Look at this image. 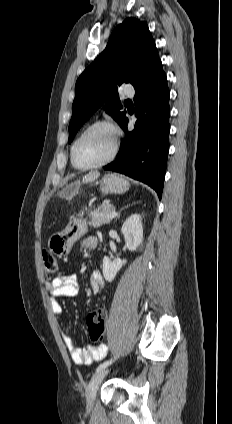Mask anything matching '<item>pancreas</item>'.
<instances>
[{
    "label": "pancreas",
    "instance_id": "obj_1",
    "mask_svg": "<svg viewBox=\"0 0 232 424\" xmlns=\"http://www.w3.org/2000/svg\"><path fill=\"white\" fill-rule=\"evenodd\" d=\"M114 210L115 208L112 205L107 203L102 204L91 213V221L89 224L93 227H100L110 223L111 219L108 218V215Z\"/></svg>",
    "mask_w": 232,
    "mask_h": 424
}]
</instances>
